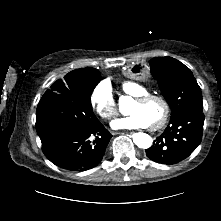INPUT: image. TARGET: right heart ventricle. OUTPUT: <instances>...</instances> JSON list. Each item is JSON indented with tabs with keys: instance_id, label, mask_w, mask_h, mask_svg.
Segmentation results:
<instances>
[{
	"instance_id": "obj_1",
	"label": "right heart ventricle",
	"mask_w": 221,
	"mask_h": 221,
	"mask_svg": "<svg viewBox=\"0 0 221 221\" xmlns=\"http://www.w3.org/2000/svg\"><path fill=\"white\" fill-rule=\"evenodd\" d=\"M121 89L125 94L133 98L149 94V90L146 87L135 81H124L121 84Z\"/></svg>"
}]
</instances>
